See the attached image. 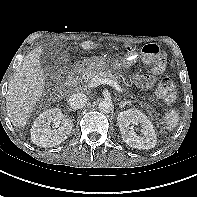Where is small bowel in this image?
I'll return each instance as SVG.
<instances>
[{
    "label": "small bowel",
    "instance_id": "1",
    "mask_svg": "<svg viewBox=\"0 0 197 197\" xmlns=\"http://www.w3.org/2000/svg\"><path fill=\"white\" fill-rule=\"evenodd\" d=\"M155 83V78L150 75H138L135 77V84L141 89H149Z\"/></svg>",
    "mask_w": 197,
    "mask_h": 197
}]
</instances>
